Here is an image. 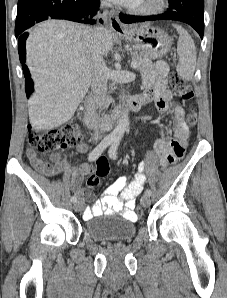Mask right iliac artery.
I'll list each match as a JSON object with an SVG mask.
<instances>
[{"label":"right iliac artery","instance_id":"82829eb1","mask_svg":"<svg viewBox=\"0 0 227 298\" xmlns=\"http://www.w3.org/2000/svg\"><path fill=\"white\" fill-rule=\"evenodd\" d=\"M114 137L112 136H107L105 137L89 154V161H94L96 160L102 153L103 151L114 141ZM72 202H76L77 198L76 196L71 197Z\"/></svg>","mask_w":227,"mask_h":298}]
</instances>
